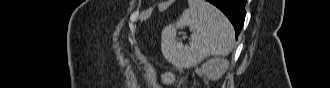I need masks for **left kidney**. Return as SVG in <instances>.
Masks as SVG:
<instances>
[{
  "label": "left kidney",
  "instance_id": "left-kidney-1",
  "mask_svg": "<svg viewBox=\"0 0 330 88\" xmlns=\"http://www.w3.org/2000/svg\"><path fill=\"white\" fill-rule=\"evenodd\" d=\"M229 62L224 58H214L204 63L200 74H204L209 80H218L227 71Z\"/></svg>",
  "mask_w": 330,
  "mask_h": 88
}]
</instances>
